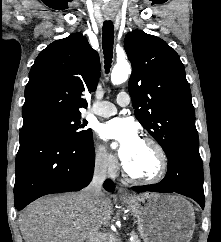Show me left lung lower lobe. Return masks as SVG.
Wrapping results in <instances>:
<instances>
[{"label":"left lung lower lobe","instance_id":"1","mask_svg":"<svg viewBox=\"0 0 221 242\" xmlns=\"http://www.w3.org/2000/svg\"><path fill=\"white\" fill-rule=\"evenodd\" d=\"M168 158L165 178L153 185L135 186L134 191L176 192L194 199L204 209L203 165L199 147L179 146Z\"/></svg>","mask_w":221,"mask_h":242}]
</instances>
